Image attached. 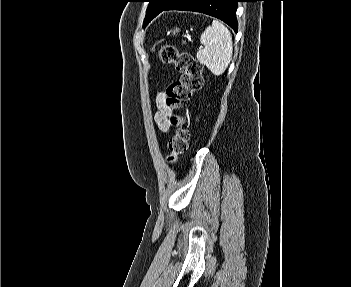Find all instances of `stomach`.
Listing matches in <instances>:
<instances>
[{
	"mask_svg": "<svg viewBox=\"0 0 351 287\" xmlns=\"http://www.w3.org/2000/svg\"><path fill=\"white\" fill-rule=\"evenodd\" d=\"M172 32H173V34L175 35L176 33L179 32V29H178V28H175Z\"/></svg>",
	"mask_w": 351,
	"mask_h": 287,
	"instance_id": "0dacf381",
	"label": "stomach"
}]
</instances>
